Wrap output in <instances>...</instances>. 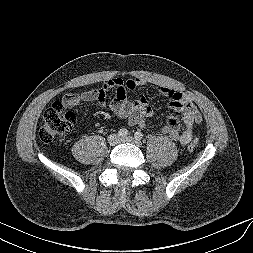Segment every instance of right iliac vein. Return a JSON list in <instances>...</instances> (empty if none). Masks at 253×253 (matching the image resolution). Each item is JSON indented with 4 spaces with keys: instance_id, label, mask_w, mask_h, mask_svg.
Here are the masks:
<instances>
[{
    "instance_id": "right-iliac-vein-1",
    "label": "right iliac vein",
    "mask_w": 253,
    "mask_h": 253,
    "mask_svg": "<svg viewBox=\"0 0 253 253\" xmlns=\"http://www.w3.org/2000/svg\"><path fill=\"white\" fill-rule=\"evenodd\" d=\"M107 141L110 145L115 146L120 143V136L119 134H110L107 138Z\"/></svg>"
}]
</instances>
